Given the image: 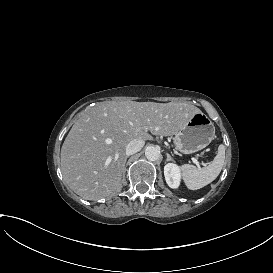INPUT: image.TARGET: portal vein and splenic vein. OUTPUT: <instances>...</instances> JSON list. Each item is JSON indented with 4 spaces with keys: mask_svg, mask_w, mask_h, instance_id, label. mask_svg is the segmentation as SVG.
I'll use <instances>...</instances> for the list:
<instances>
[{
    "mask_svg": "<svg viewBox=\"0 0 273 273\" xmlns=\"http://www.w3.org/2000/svg\"><path fill=\"white\" fill-rule=\"evenodd\" d=\"M191 160L193 161V163H195L196 165H200V163L196 160V158L191 157Z\"/></svg>",
    "mask_w": 273,
    "mask_h": 273,
    "instance_id": "1",
    "label": "portal vein and splenic vein"
}]
</instances>
